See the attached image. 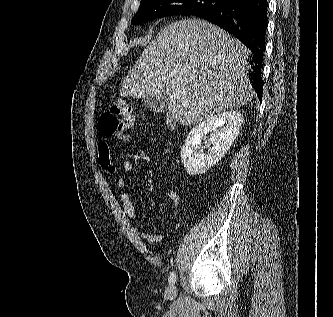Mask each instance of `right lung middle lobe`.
<instances>
[{"label":"right lung middle lobe","instance_id":"obj_1","mask_svg":"<svg viewBox=\"0 0 333 317\" xmlns=\"http://www.w3.org/2000/svg\"><path fill=\"white\" fill-rule=\"evenodd\" d=\"M226 1L222 0H142L132 24L169 15H196L218 8Z\"/></svg>","mask_w":333,"mask_h":317}]
</instances>
